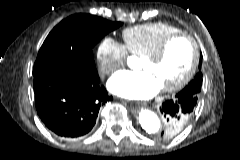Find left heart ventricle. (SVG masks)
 <instances>
[{
	"instance_id": "1",
	"label": "left heart ventricle",
	"mask_w": 240,
	"mask_h": 160,
	"mask_svg": "<svg viewBox=\"0 0 240 160\" xmlns=\"http://www.w3.org/2000/svg\"><path fill=\"white\" fill-rule=\"evenodd\" d=\"M191 60L190 44L185 39H176L168 46L161 60H141L139 68L151 73L163 88L177 83L189 69Z\"/></svg>"
}]
</instances>
